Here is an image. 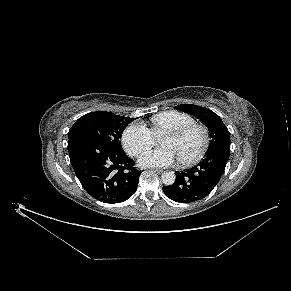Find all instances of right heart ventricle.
Instances as JSON below:
<instances>
[{"instance_id":"obj_1","label":"right heart ventricle","mask_w":291,"mask_h":291,"mask_svg":"<svg viewBox=\"0 0 291 291\" xmlns=\"http://www.w3.org/2000/svg\"><path fill=\"white\" fill-rule=\"evenodd\" d=\"M193 123H195L193 116L171 110L157 114L151 118V131L154 136H161Z\"/></svg>"}]
</instances>
